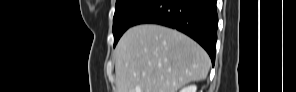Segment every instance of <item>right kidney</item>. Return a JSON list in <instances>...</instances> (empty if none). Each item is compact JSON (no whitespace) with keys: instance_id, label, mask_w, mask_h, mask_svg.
Segmentation results:
<instances>
[{"instance_id":"ca27d5eb","label":"right kidney","mask_w":296,"mask_h":92,"mask_svg":"<svg viewBox=\"0 0 296 92\" xmlns=\"http://www.w3.org/2000/svg\"><path fill=\"white\" fill-rule=\"evenodd\" d=\"M197 87L196 85H190L187 87H184L182 90H180V92H196Z\"/></svg>"}]
</instances>
